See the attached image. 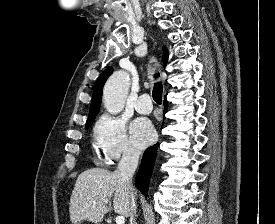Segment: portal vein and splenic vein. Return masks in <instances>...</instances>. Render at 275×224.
Listing matches in <instances>:
<instances>
[{"instance_id":"1","label":"portal vein and splenic vein","mask_w":275,"mask_h":224,"mask_svg":"<svg viewBox=\"0 0 275 224\" xmlns=\"http://www.w3.org/2000/svg\"><path fill=\"white\" fill-rule=\"evenodd\" d=\"M105 203L107 204L108 201H105ZM115 222H116V224H124L125 223L124 216H117Z\"/></svg>"}]
</instances>
